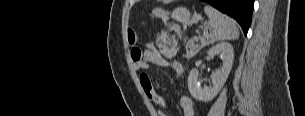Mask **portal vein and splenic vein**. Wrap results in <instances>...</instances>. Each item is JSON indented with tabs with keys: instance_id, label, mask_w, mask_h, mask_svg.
<instances>
[{
	"instance_id": "18ae733b",
	"label": "portal vein and splenic vein",
	"mask_w": 305,
	"mask_h": 116,
	"mask_svg": "<svg viewBox=\"0 0 305 116\" xmlns=\"http://www.w3.org/2000/svg\"><path fill=\"white\" fill-rule=\"evenodd\" d=\"M201 39V42H204V40H202V38H200Z\"/></svg>"
}]
</instances>
